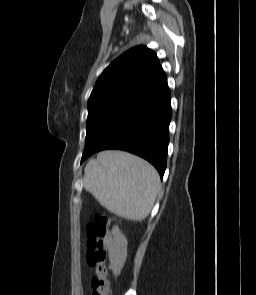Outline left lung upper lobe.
I'll return each instance as SVG.
<instances>
[{"label":"left lung upper lobe","instance_id":"left-lung-upper-lobe-1","mask_svg":"<svg viewBox=\"0 0 256 295\" xmlns=\"http://www.w3.org/2000/svg\"><path fill=\"white\" fill-rule=\"evenodd\" d=\"M166 87V75L152 50L137 46L118 57L100 75L88 100L85 148Z\"/></svg>","mask_w":256,"mask_h":295}]
</instances>
